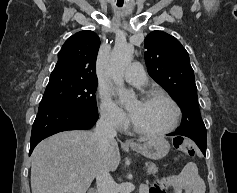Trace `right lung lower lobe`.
<instances>
[{"instance_id":"1","label":"right lung lower lobe","mask_w":237,"mask_h":193,"mask_svg":"<svg viewBox=\"0 0 237 193\" xmlns=\"http://www.w3.org/2000/svg\"><path fill=\"white\" fill-rule=\"evenodd\" d=\"M98 117L97 113L79 112L54 104H40L32 127L29 155L46 137L61 131L90 129Z\"/></svg>"}]
</instances>
